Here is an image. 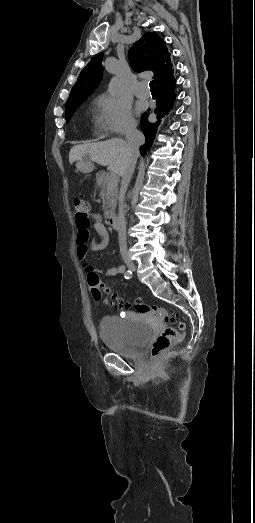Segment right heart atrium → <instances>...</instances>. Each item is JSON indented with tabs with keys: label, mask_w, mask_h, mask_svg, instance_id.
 Segmentation results:
<instances>
[{
	"label": "right heart atrium",
	"mask_w": 255,
	"mask_h": 523,
	"mask_svg": "<svg viewBox=\"0 0 255 523\" xmlns=\"http://www.w3.org/2000/svg\"><path fill=\"white\" fill-rule=\"evenodd\" d=\"M98 100L107 118L106 129L109 133L126 135L134 131L136 121L127 102L109 94L100 95Z\"/></svg>",
	"instance_id": "obj_1"
}]
</instances>
